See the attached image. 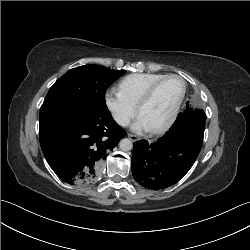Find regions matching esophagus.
Returning a JSON list of instances; mask_svg holds the SVG:
<instances>
[{
	"mask_svg": "<svg viewBox=\"0 0 250 250\" xmlns=\"http://www.w3.org/2000/svg\"><path fill=\"white\" fill-rule=\"evenodd\" d=\"M127 136L133 142H135L139 139L136 135H133V134H128Z\"/></svg>",
	"mask_w": 250,
	"mask_h": 250,
	"instance_id": "esophagus-1",
	"label": "esophagus"
}]
</instances>
